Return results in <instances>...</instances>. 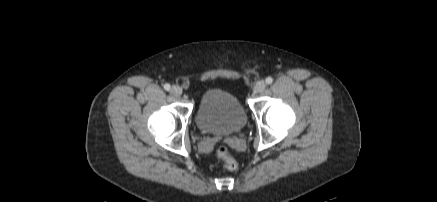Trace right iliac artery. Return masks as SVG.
<instances>
[{
    "instance_id": "right-iliac-artery-1",
    "label": "right iliac artery",
    "mask_w": 437,
    "mask_h": 202,
    "mask_svg": "<svg viewBox=\"0 0 437 202\" xmlns=\"http://www.w3.org/2000/svg\"><path fill=\"white\" fill-rule=\"evenodd\" d=\"M170 88H171V87H170V85H169V84H165V85H164V89H165V90L169 91V90H170Z\"/></svg>"
}]
</instances>
